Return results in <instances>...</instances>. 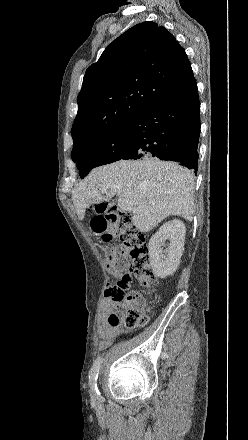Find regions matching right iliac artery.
Returning a JSON list of instances; mask_svg holds the SVG:
<instances>
[{
  "mask_svg": "<svg viewBox=\"0 0 248 440\" xmlns=\"http://www.w3.org/2000/svg\"><path fill=\"white\" fill-rule=\"evenodd\" d=\"M101 363H102V357H98L95 360V362H94V364H93V366H92V368L90 370V373H89L90 387H91L92 392L97 397L100 395V392H99L98 387H97V378H98V373H99V369H100Z\"/></svg>",
  "mask_w": 248,
  "mask_h": 440,
  "instance_id": "1",
  "label": "right iliac artery"
}]
</instances>
